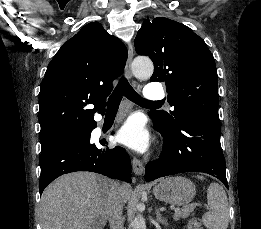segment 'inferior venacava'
Here are the masks:
<instances>
[{"instance_id":"obj_1","label":"inferior vena cava","mask_w":261,"mask_h":229,"mask_svg":"<svg viewBox=\"0 0 261 229\" xmlns=\"http://www.w3.org/2000/svg\"><path fill=\"white\" fill-rule=\"evenodd\" d=\"M122 187L118 183H113L110 193H108L107 215L110 229H124L123 201L120 195Z\"/></svg>"}]
</instances>
